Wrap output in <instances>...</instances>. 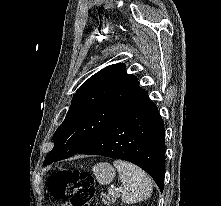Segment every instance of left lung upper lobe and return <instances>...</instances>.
<instances>
[{"mask_svg":"<svg viewBox=\"0 0 221 206\" xmlns=\"http://www.w3.org/2000/svg\"><path fill=\"white\" fill-rule=\"evenodd\" d=\"M144 92L137 78L126 73L124 64H113L94 74L75 93L54 134L55 146L43 164L78 153Z\"/></svg>","mask_w":221,"mask_h":206,"instance_id":"obj_1","label":"left lung upper lobe"}]
</instances>
